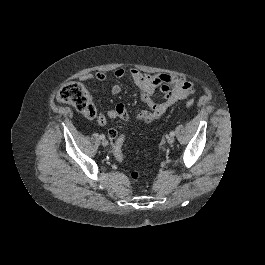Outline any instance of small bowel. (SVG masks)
<instances>
[{
	"label": "small bowel",
	"instance_id": "c3829d8e",
	"mask_svg": "<svg viewBox=\"0 0 265 265\" xmlns=\"http://www.w3.org/2000/svg\"><path fill=\"white\" fill-rule=\"evenodd\" d=\"M114 76L115 78L121 80L126 76V71L123 68H117L114 70ZM129 76L134 85L137 87L141 99L149 107V110L139 111L134 116V119L142 121L146 124L158 120L171 105L179 100L187 98L195 91L193 83L181 76L142 73L136 68L130 69ZM80 78L83 81L95 80L99 82H105L108 79L107 75L103 72L85 74ZM158 87H160L164 98L161 102H157L153 99V94ZM121 91L122 87L120 84L112 85L111 93L113 95H118ZM107 118H119L124 121L131 120L125 105L122 103L117 104L113 109L107 111L106 115L101 114L98 118V123L102 126L105 125L107 123ZM109 132H112V134L110 135ZM109 132L110 138L117 135V131L115 129H110Z\"/></svg>",
	"mask_w": 265,
	"mask_h": 265
}]
</instances>
